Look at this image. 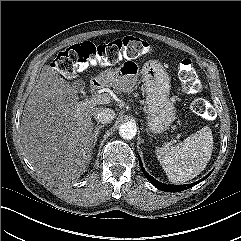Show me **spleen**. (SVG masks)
Instances as JSON below:
<instances>
[{
  "label": "spleen",
  "instance_id": "1",
  "mask_svg": "<svg viewBox=\"0 0 241 241\" xmlns=\"http://www.w3.org/2000/svg\"><path fill=\"white\" fill-rule=\"evenodd\" d=\"M213 151L211 129L203 127L183 142L156 150L157 158L172 183H185L207 166Z\"/></svg>",
  "mask_w": 241,
  "mask_h": 241
}]
</instances>
